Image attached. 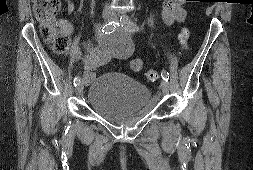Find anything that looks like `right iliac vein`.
<instances>
[{
  "instance_id": "63e3f726",
  "label": "right iliac vein",
  "mask_w": 253,
  "mask_h": 170,
  "mask_svg": "<svg viewBox=\"0 0 253 170\" xmlns=\"http://www.w3.org/2000/svg\"><path fill=\"white\" fill-rule=\"evenodd\" d=\"M102 17H103L104 22H108L112 20V15L109 12H104ZM85 84H86V79L83 77L82 80L76 86L75 92L77 95H80L82 93Z\"/></svg>"
}]
</instances>
